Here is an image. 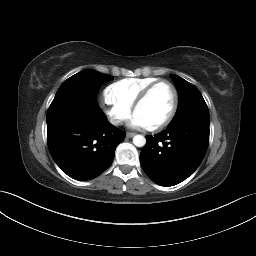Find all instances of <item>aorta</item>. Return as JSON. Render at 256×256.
Masks as SVG:
<instances>
[{
    "mask_svg": "<svg viewBox=\"0 0 256 256\" xmlns=\"http://www.w3.org/2000/svg\"><path fill=\"white\" fill-rule=\"evenodd\" d=\"M133 144L137 147H143L146 144V138L142 135H136L133 138Z\"/></svg>",
    "mask_w": 256,
    "mask_h": 256,
    "instance_id": "obj_1",
    "label": "aorta"
}]
</instances>
